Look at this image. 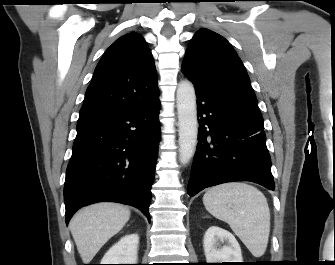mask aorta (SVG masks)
<instances>
[{
  "instance_id": "1",
  "label": "aorta",
  "mask_w": 335,
  "mask_h": 265,
  "mask_svg": "<svg viewBox=\"0 0 335 265\" xmlns=\"http://www.w3.org/2000/svg\"><path fill=\"white\" fill-rule=\"evenodd\" d=\"M176 99L179 126V160L185 165L194 155L198 137L196 95L191 82L184 80L179 83Z\"/></svg>"
}]
</instances>
